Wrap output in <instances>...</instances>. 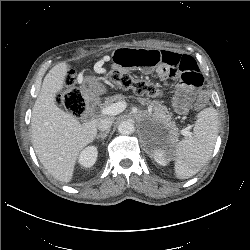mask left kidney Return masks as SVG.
I'll return each instance as SVG.
<instances>
[{
	"label": "left kidney",
	"mask_w": 250,
	"mask_h": 250,
	"mask_svg": "<svg viewBox=\"0 0 250 250\" xmlns=\"http://www.w3.org/2000/svg\"><path fill=\"white\" fill-rule=\"evenodd\" d=\"M152 156H153L154 160L162 166H165L168 162V159L166 158L165 148H156L153 151Z\"/></svg>",
	"instance_id": "1"
}]
</instances>
